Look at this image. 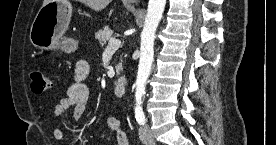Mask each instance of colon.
<instances>
[{"label":"colon","instance_id":"obj_1","mask_svg":"<svg viewBox=\"0 0 276 145\" xmlns=\"http://www.w3.org/2000/svg\"><path fill=\"white\" fill-rule=\"evenodd\" d=\"M29 76L31 80V89L34 93L41 94L49 89L50 81L41 68H32Z\"/></svg>","mask_w":276,"mask_h":145}]
</instances>
